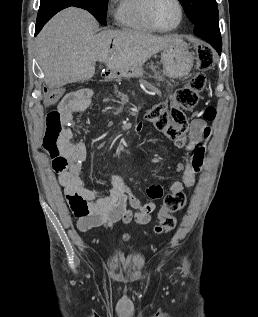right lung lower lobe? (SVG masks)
I'll use <instances>...</instances> for the list:
<instances>
[{"mask_svg": "<svg viewBox=\"0 0 258 317\" xmlns=\"http://www.w3.org/2000/svg\"><path fill=\"white\" fill-rule=\"evenodd\" d=\"M74 6L85 9L93 14L88 0H41L38 11L35 36L40 32L42 27L60 10Z\"/></svg>", "mask_w": 258, "mask_h": 317, "instance_id": "1", "label": "right lung lower lobe"}]
</instances>
